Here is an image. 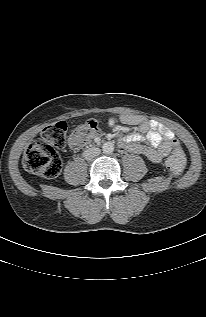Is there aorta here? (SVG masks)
I'll list each match as a JSON object with an SVG mask.
<instances>
[{
  "mask_svg": "<svg viewBox=\"0 0 206 317\" xmlns=\"http://www.w3.org/2000/svg\"><path fill=\"white\" fill-rule=\"evenodd\" d=\"M102 150L105 154H111L114 151V144L112 142H105Z\"/></svg>",
  "mask_w": 206,
  "mask_h": 317,
  "instance_id": "aorta-1",
  "label": "aorta"
}]
</instances>
